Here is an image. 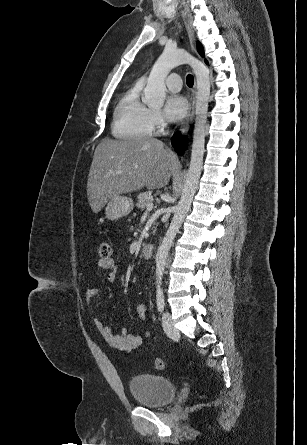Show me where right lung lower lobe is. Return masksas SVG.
I'll list each match as a JSON object with an SVG mask.
<instances>
[{"instance_id":"1","label":"right lung lower lobe","mask_w":307,"mask_h":445,"mask_svg":"<svg viewBox=\"0 0 307 445\" xmlns=\"http://www.w3.org/2000/svg\"><path fill=\"white\" fill-rule=\"evenodd\" d=\"M172 144L176 148V151L182 155L183 150L186 148V139L181 137L179 133L175 134L172 138Z\"/></svg>"}]
</instances>
